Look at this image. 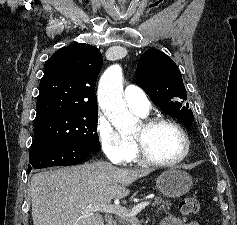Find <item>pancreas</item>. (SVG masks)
I'll return each instance as SVG.
<instances>
[{
    "label": "pancreas",
    "instance_id": "1",
    "mask_svg": "<svg viewBox=\"0 0 237 225\" xmlns=\"http://www.w3.org/2000/svg\"><path fill=\"white\" fill-rule=\"evenodd\" d=\"M154 199H155L154 205L158 207L157 211H166L170 208L169 201L164 200L161 196H157ZM135 220H136L135 217H129V218L121 216L118 217L119 225H131V223Z\"/></svg>",
    "mask_w": 237,
    "mask_h": 225
}]
</instances>
